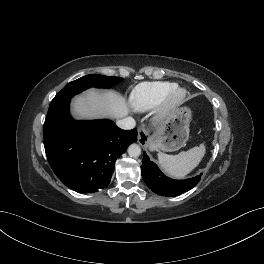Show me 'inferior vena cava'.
Here are the masks:
<instances>
[{
    "label": "inferior vena cava",
    "instance_id": "602c4592",
    "mask_svg": "<svg viewBox=\"0 0 264 264\" xmlns=\"http://www.w3.org/2000/svg\"><path fill=\"white\" fill-rule=\"evenodd\" d=\"M116 125L121 129L130 130V129L135 128L136 123L132 117H126L124 119L118 120L116 122Z\"/></svg>",
    "mask_w": 264,
    "mask_h": 264
}]
</instances>
